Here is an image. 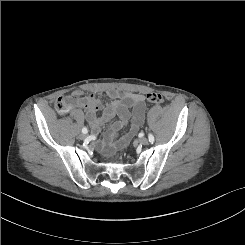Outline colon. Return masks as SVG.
<instances>
[{
	"mask_svg": "<svg viewBox=\"0 0 245 245\" xmlns=\"http://www.w3.org/2000/svg\"><path fill=\"white\" fill-rule=\"evenodd\" d=\"M146 100L153 104H161L164 102V97L159 93H149L146 95ZM84 102V97L80 93H75L71 96H62L57 100L56 109L58 113L64 114L69 109L80 106Z\"/></svg>",
	"mask_w": 245,
	"mask_h": 245,
	"instance_id": "1",
	"label": "colon"
}]
</instances>
